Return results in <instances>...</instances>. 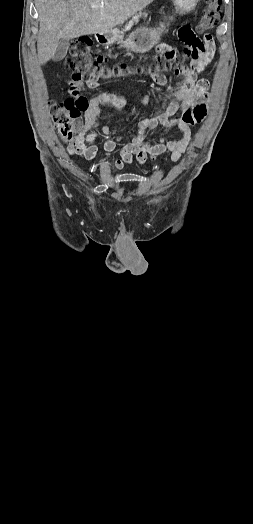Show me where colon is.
Instances as JSON below:
<instances>
[{"instance_id": "colon-1", "label": "colon", "mask_w": 253, "mask_h": 524, "mask_svg": "<svg viewBox=\"0 0 253 524\" xmlns=\"http://www.w3.org/2000/svg\"><path fill=\"white\" fill-rule=\"evenodd\" d=\"M221 20V0H207L203 14L200 18L197 31L205 33L213 29ZM185 59L184 56L181 57ZM177 59V58H176ZM109 53H96L92 55V40L89 36H81L76 39L70 48L66 58L68 67L72 70V79L69 86V96L63 101L51 104L50 113L53 123L66 143L73 141L83 129L82 114L88 109L89 102L81 93L85 88V83L90 87H97L101 81L113 77L124 76L135 72H145L148 74L151 65L147 68H135L126 64L109 67ZM178 59L175 65H177ZM154 67H159L158 71L165 72L166 66L159 61L154 63ZM206 115L204 105H197L192 108L189 114V121L192 123L201 122Z\"/></svg>"}]
</instances>
